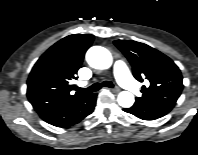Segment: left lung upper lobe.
<instances>
[{"instance_id": "1", "label": "left lung upper lobe", "mask_w": 198, "mask_h": 155, "mask_svg": "<svg viewBox=\"0 0 198 155\" xmlns=\"http://www.w3.org/2000/svg\"><path fill=\"white\" fill-rule=\"evenodd\" d=\"M114 44L127 57L133 67L134 77L149 85L142 86V96L136 102L148 105L174 106L182 89V75L175 63L158 50L140 42L116 40Z\"/></svg>"}]
</instances>
